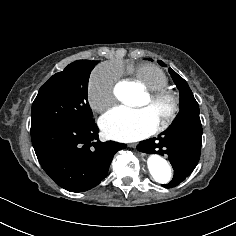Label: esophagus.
I'll list each match as a JSON object with an SVG mask.
<instances>
[{"label": "esophagus", "mask_w": 236, "mask_h": 236, "mask_svg": "<svg viewBox=\"0 0 236 236\" xmlns=\"http://www.w3.org/2000/svg\"><path fill=\"white\" fill-rule=\"evenodd\" d=\"M129 147L135 148L136 144H131V145H129Z\"/></svg>", "instance_id": "1"}]
</instances>
